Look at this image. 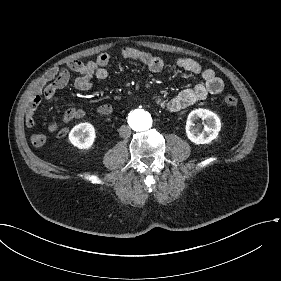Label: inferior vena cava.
Here are the masks:
<instances>
[{
    "instance_id": "inferior-vena-cava-1",
    "label": "inferior vena cava",
    "mask_w": 281,
    "mask_h": 281,
    "mask_svg": "<svg viewBox=\"0 0 281 281\" xmlns=\"http://www.w3.org/2000/svg\"><path fill=\"white\" fill-rule=\"evenodd\" d=\"M119 134L122 138H128L131 135V129L128 125H122L119 130Z\"/></svg>"
}]
</instances>
